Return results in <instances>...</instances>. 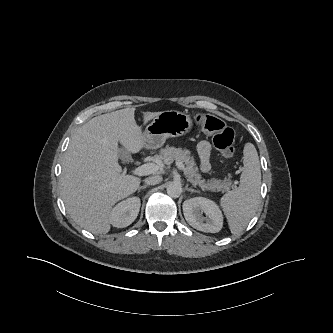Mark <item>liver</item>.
<instances>
[{
	"instance_id": "1",
	"label": "liver",
	"mask_w": 333,
	"mask_h": 333,
	"mask_svg": "<svg viewBox=\"0 0 333 333\" xmlns=\"http://www.w3.org/2000/svg\"><path fill=\"white\" fill-rule=\"evenodd\" d=\"M135 108L92 118L72 136L62 163L61 195L67 213L93 234L110 231L113 205L134 193L141 179L122 172L118 143L129 153L145 147ZM160 112H143L144 123Z\"/></svg>"
}]
</instances>
